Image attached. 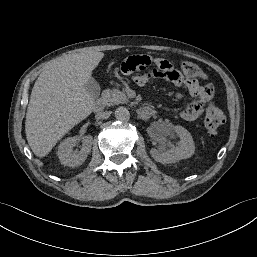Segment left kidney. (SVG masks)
<instances>
[{"label": "left kidney", "mask_w": 257, "mask_h": 257, "mask_svg": "<svg viewBox=\"0 0 257 257\" xmlns=\"http://www.w3.org/2000/svg\"><path fill=\"white\" fill-rule=\"evenodd\" d=\"M174 131L180 138V142L178 146H172L171 148L166 150V136ZM159 148L151 149L150 154L154 158V160L163 163H176L179 160L187 159L194 154L195 145L191 134L182 126H174L173 128H169L167 131L162 132L159 137Z\"/></svg>", "instance_id": "left-kidney-1"}]
</instances>
